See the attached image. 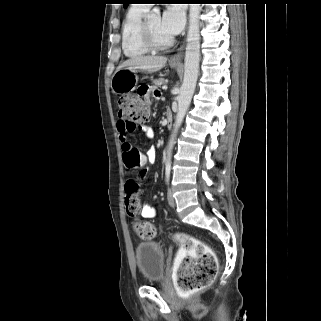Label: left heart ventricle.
Segmentation results:
<instances>
[{
    "label": "left heart ventricle",
    "instance_id": "b2bd125f",
    "mask_svg": "<svg viewBox=\"0 0 321 321\" xmlns=\"http://www.w3.org/2000/svg\"><path fill=\"white\" fill-rule=\"evenodd\" d=\"M160 19L161 17L157 14L150 15L148 17V23L151 29V32L154 36V38L158 42H166L169 40L172 36H170L168 33H166L160 25Z\"/></svg>",
    "mask_w": 321,
    "mask_h": 321
}]
</instances>
